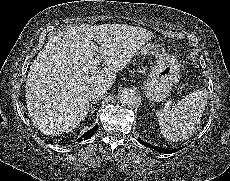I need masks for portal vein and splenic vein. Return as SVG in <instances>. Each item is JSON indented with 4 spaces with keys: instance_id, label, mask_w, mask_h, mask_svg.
Masks as SVG:
<instances>
[{
    "instance_id": "18ae733b",
    "label": "portal vein and splenic vein",
    "mask_w": 230,
    "mask_h": 181,
    "mask_svg": "<svg viewBox=\"0 0 230 181\" xmlns=\"http://www.w3.org/2000/svg\"><path fill=\"white\" fill-rule=\"evenodd\" d=\"M95 47V46H94ZM96 48V47H95ZM101 63V58L99 56H97L95 59H94V64L95 65H99Z\"/></svg>"
}]
</instances>
